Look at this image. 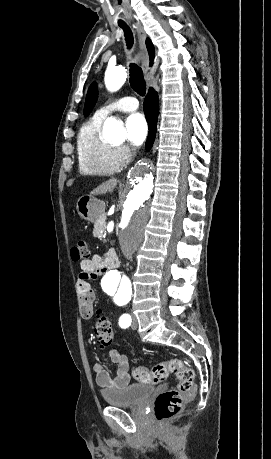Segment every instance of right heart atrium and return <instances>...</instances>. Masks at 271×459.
<instances>
[{
  "label": "right heart atrium",
  "mask_w": 271,
  "mask_h": 459,
  "mask_svg": "<svg viewBox=\"0 0 271 459\" xmlns=\"http://www.w3.org/2000/svg\"><path fill=\"white\" fill-rule=\"evenodd\" d=\"M116 155L122 161L126 162L129 161L132 157V150L126 145H118L116 146Z\"/></svg>",
  "instance_id": "obj_1"
}]
</instances>
